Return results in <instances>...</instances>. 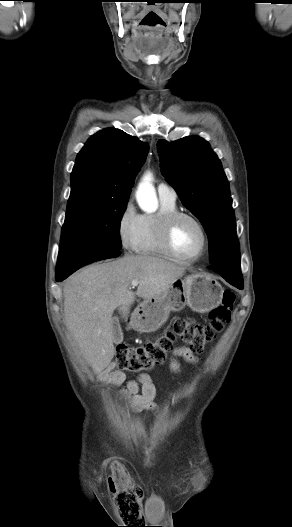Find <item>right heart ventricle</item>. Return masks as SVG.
Here are the masks:
<instances>
[{"mask_svg":"<svg viewBox=\"0 0 292 527\" xmlns=\"http://www.w3.org/2000/svg\"><path fill=\"white\" fill-rule=\"evenodd\" d=\"M176 210H178L176 200L160 197V208L156 213L140 215L134 246V251L136 253L170 257L160 245L158 228L161 218L165 214Z\"/></svg>","mask_w":292,"mask_h":527,"instance_id":"e07e8e85","label":"right heart ventricle"}]
</instances>
